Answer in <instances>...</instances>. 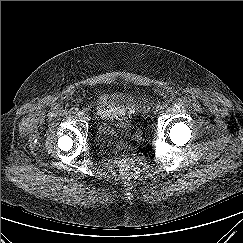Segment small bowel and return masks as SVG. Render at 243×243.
<instances>
[{"label": "small bowel", "mask_w": 243, "mask_h": 243, "mask_svg": "<svg viewBox=\"0 0 243 243\" xmlns=\"http://www.w3.org/2000/svg\"><path fill=\"white\" fill-rule=\"evenodd\" d=\"M121 102L131 104L133 98L122 93L102 94L96 101V108L99 116L105 119H121L127 115L130 109L128 105L120 104Z\"/></svg>", "instance_id": "small-bowel-1"}]
</instances>
